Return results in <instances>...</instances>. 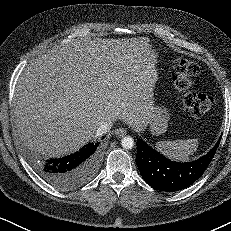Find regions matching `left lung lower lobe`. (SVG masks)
<instances>
[{
  "label": "left lung lower lobe",
  "mask_w": 231,
  "mask_h": 231,
  "mask_svg": "<svg viewBox=\"0 0 231 231\" xmlns=\"http://www.w3.org/2000/svg\"><path fill=\"white\" fill-rule=\"evenodd\" d=\"M215 146L200 159L192 162H174L137 140L136 163L143 179L160 191H178L194 183L207 169L218 148Z\"/></svg>",
  "instance_id": "0a47b994"
}]
</instances>
